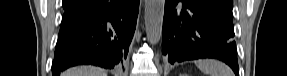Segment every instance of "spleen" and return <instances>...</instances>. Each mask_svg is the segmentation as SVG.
Wrapping results in <instances>:
<instances>
[{
	"mask_svg": "<svg viewBox=\"0 0 287 76\" xmlns=\"http://www.w3.org/2000/svg\"><path fill=\"white\" fill-rule=\"evenodd\" d=\"M197 67L209 76H234L233 71L224 63L208 59L197 61Z\"/></svg>",
	"mask_w": 287,
	"mask_h": 76,
	"instance_id": "spleen-1",
	"label": "spleen"
}]
</instances>
